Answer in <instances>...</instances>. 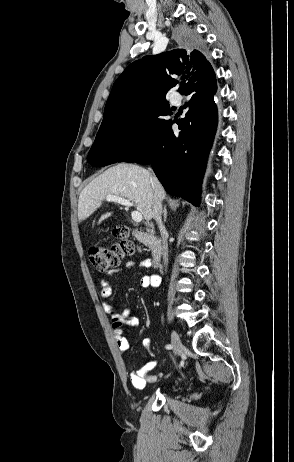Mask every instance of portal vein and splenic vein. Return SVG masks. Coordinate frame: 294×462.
Masks as SVG:
<instances>
[{"instance_id": "1", "label": "portal vein and splenic vein", "mask_w": 294, "mask_h": 462, "mask_svg": "<svg viewBox=\"0 0 294 462\" xmlns=\"http://www.w3.org/2000/svg\"><path fill=\"white\" fill-rule=\"evenodd\" d=\"M106 200L108 202H110V201L117 202V203H119L121 205L126 206L127 208L132 206V203L130 202V200H127V199L122 198L120 196L108 195L106 197ZM131 216H132L133 221L136 222V223H139V222H141L143 220L142 214L140 212H138V211H132Z\"/></svg>"}]
</instances>
